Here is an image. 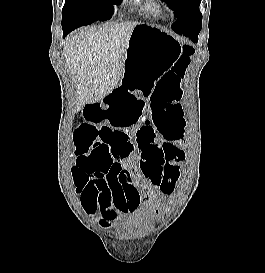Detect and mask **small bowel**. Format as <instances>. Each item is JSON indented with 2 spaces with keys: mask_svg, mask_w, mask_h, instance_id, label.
Returning <instances> with one entry per match:
<instances>
[{
  "mask_svg": "<svg viewBox=\"0 0 265 273\" xmlns=\"http://www.w3.org/2000/svg\"><path fill=\"white\" fill-rule=\"evenodd\" d=\"M85 108L89 109L84 110L83 119L100 124H74V129H111L116 135L107 148L110 165L93 177L98 180L97 193L82 192L84 212L99 214L105 228L142 204L158 213L152 174L166 164L160 157L164 141L151 123L135 125L140 124L145 99L134 91H111L102 102L85 103Z\"/></svg>",
  "mask_w": 265,
  "mask_h": 273,
  "instance_id": "1",
  "label": "small bowel"
}]
</instances>
